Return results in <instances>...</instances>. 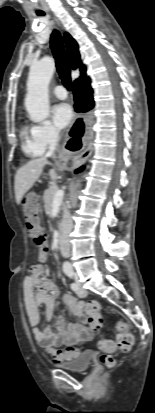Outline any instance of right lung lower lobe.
<instances>
[{
  "label": "right lung lower lobe",
  "instance_id": "right-lung-lower-lobe-1",
  "mask_svg": "<svg viewBox=\"0 0 155 413\" xmlns=\"http://www.w3.org/2000/svg\"><path fill=\"white\" fill-rule=\"evenodd\" d=\"M81 76L84 77L85 73H82ZM89 83L88 78H79L73 83L75 110L77 112H86L94 106L92 89ZM83 169L84 166L75 170V173L81 172Z\"/></svg>",
  "mask_w": 155,
  "mask_h": 413
}]
</instances>
